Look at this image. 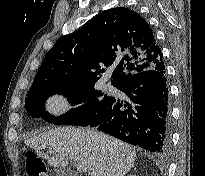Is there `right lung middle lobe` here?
Listing matches in <instances>:
<instances>
[{
	"label": "right lung middle lobe",
	"instance_id": "1",
	"mask_svg": "<svg viewBox=\"0 0 205 176\" xmlns=\"http://www.w3.org/2000/svg\"><path fill=\"white\" fill-rule=\"evenodd\" d=\"M63 94L73 100V104L80 106L72 109L62 117H55L45 112V101L52 94ZM95 90L93 84L50 85L29 92L25 101L27 113L32 117H42L55 125H88L96 113L103 108L113 97L104 95Z\"/></svg>",
	"mask_w": 205,
	"mask_h": 176
}]
</instances>
